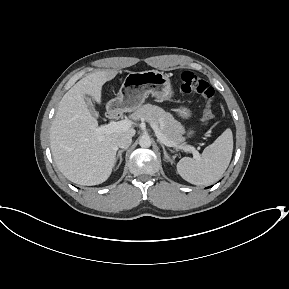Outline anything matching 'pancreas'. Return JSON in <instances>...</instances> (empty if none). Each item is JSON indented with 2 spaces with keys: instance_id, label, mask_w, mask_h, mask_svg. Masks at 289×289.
<instances>
[{
  "instance_id": "cf45deb5",
  "label": "pancreas",
  "mask_w": 289,
  "mask_h": 289,
  "mask_svg": "<svg viewBox=\"0 0 289 289\" xmlns=\"http://www.w3.org/2000/svg\"><path fill=\"white\" fill-rule=\"evenodd\" d=\"M132 118L149 123H160L163 135L170 142L178 144L184 141V137L182 136L185 132L184 127L170 113L165 112L158 106L145 104L132 114Z\"/></svg>"
}]
</instances>
